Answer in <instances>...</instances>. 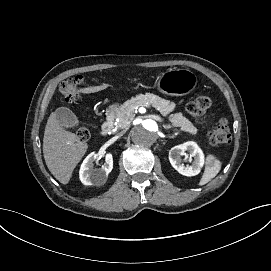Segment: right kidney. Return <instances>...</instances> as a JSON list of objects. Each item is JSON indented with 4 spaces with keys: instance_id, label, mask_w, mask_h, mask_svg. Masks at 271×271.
Instances as JSON below:
<instances>
[{
    "instance_id": "obj_1",
    "label": "right kidney",
    "mask_w": 271,
    "mask_h": 271,
    "mask_svg": "<svg viewBox=\"0 0 271 271\" xmlns=\"http://www.w3.org/2000/svg\"><path fill=\"white\" fill-rule=\"evenodd\" d=\"M97 158L95 152L90 153L83 161L80 168V180L86 185L103 186L109 173L113 169V155L110 152L105 153V164L101 168H93V161Z\"/></svg>"
}]
</instances>
